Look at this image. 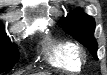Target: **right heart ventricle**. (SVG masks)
I'll list each match as a JSON object with an SVG mask.
<instances>
[{
    "mask_svg": "<svg viewBox=\"0 0 107 75\" xmlns=\"http://www.w3.org/2000/svg\"><path fill=\"white\" fill-rule=\"evenodd\" d=\"M43 51L46 61L53 67L69 71L81 67L77 47L70 40L47 38Z\"/></svg>",
    "mask_w": 107,
    "mask_h": 75,
    "instance_id": "obj_1",
    "label": "right heart ventricle"
}]
</instances>
